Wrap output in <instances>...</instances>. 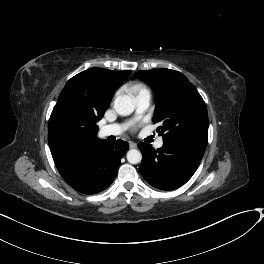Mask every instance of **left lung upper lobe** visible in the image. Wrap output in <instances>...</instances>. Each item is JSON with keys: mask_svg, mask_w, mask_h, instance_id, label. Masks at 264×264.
Returning a JSON list of instances; mask_svg holds the SVG:
<instances>
[{"mask_svg": "<svg viewBox=\"0 0 264 264\" xmlns=\"http://www.w3.org/2000/svg\"><path fill=\"white\" fill-rule=\"evenodd\" d=\"M156 95L154 123H159L163 142L191 140L207 145V108L196 88L181 73L171 69L138 71Z\"/></svg>", "mask_w": 264, "mask_h": 264, "instance_id": "obj_1", "label": "left lung upper lobe"}]
</instances>
